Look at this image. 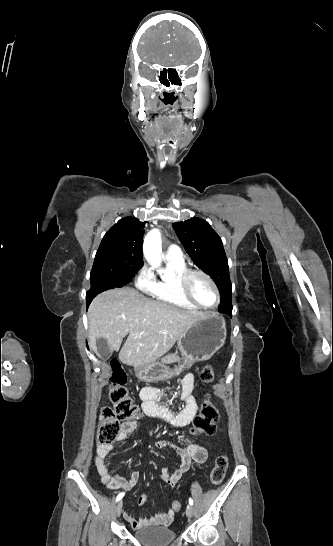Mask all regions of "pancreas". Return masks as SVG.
Listing matches in <instances>:
<instances>
[{
  "mask_svg": "<svg viewBox=\"0 0 333 546\" xmlns=\"http://www.w3.org/2000/svg\"><path fill=\"white\" fill-rule=\"evenodd\" d=\"M162 361L166 364L180 362V357L177 354H168L162 358Z\"/></svg>",
  "mask_w": 333,
  "mask_h": 546,
  "instance_id": "pancreas-1",
  "label": "pancreas"
}]
</instances>
